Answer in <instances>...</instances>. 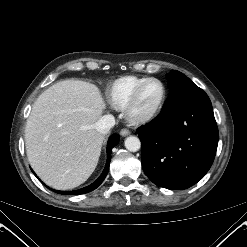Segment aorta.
Segmentation results:
<instances>
[{
  "label": "aorta",
  "instance_id": "obj_1",
  "mask_svg": "<svg viewBox=\"0 0 247 247\" xmlns=\"http://www.w3.org/2000/svg\"><path fill=\"white\" fill-rule=\"evenodd\" d=\"M125 147L128 151L136 152L141 148V142L136 136H129L125 139Z\"/></svg>",
  "mask_w": 247,
  "mask_h": 247
}]
</instances>
